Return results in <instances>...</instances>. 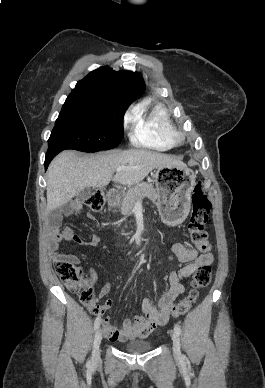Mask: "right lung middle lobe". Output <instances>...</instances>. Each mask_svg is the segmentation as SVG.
I'll list each match as a JSON object with an SVG mask.
<instances>
[{
    "instance_id": "dd1d6c3e",
    "label": "right lung middle lobe",
    "mask_w": 265,
    "mask_h": 388,
    "mask_svg": "<svg viewBox=\"0 0 265 388\" xmlns=\"http://www.w3.org/2000/svg\"><path fill=\"white\" fill-rule=\"evenodd\" d=\"M132 102L118 96L70 94L51 132L48 152L117 147L123 138L124 113Z\"/></svg>"
}]
</instances>
